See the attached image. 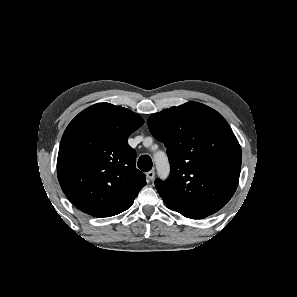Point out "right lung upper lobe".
Returning <instances> with one entry per match:
<instances>
[{
  "instance_id": "1",
  "label": "right lung upper lobe",
  "mask_w": 297,
  "mask_h": 297,
  "mask_svg": "<svg viewBox=\"0 0 297 297\" xmlns=\"http://www.w3.org/2000/svg\"><path fill=\"white\" fill-rule=\"evenodd\" d=\"M136 113L109 103L94 104L66 128L57 174L67 198L81 211L110 217L127 210L146 185L127 139L143 125Z\"/></svg>"
}]
</instances>
